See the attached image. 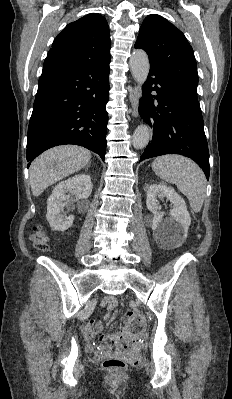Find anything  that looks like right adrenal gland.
Instances as JSON below:
<instances>
[{"mask_svg":"<svg viewBox=\"0 0 232 399\" xmlns=\"http://www.w3.org/2000/svg\"><path fill=\"white\" fill-rule=\"evenodd\" d=\"M88 168H89V166H85V168H84L85 172H87Z\"/></svg>","mask_w":232,"mask_h":399,"instance_id":"1","label":"right adrenal gland"}]
</instances>
